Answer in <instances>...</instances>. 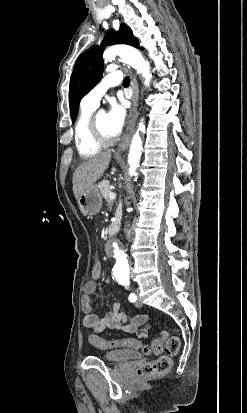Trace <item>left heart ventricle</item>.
I'll return each instance as SVG.
<instances>
[{
    "label": "left heart ventricle",
    "mask_w": 247,
    "mask_h": 413,
    "mask_svg": "<svg viewBox=\"0 0 247 413\" xmlns=\"http://www.w3.org/2000/svg\"><path fill=\"white\" fill-rule=\"evenodd\" d=\"M98 120H99V123H100L101 125H105V117H104V115H99V116H98ZM105 127H106V128L100 127L103 135H104L105 137H108V138H113V135L110 133L108 127H107L106 125H105Z\"/></svg>",
    "instance_id": "left-heart-ventricle-1"
}]
</instances>
